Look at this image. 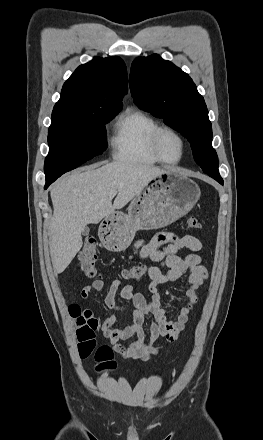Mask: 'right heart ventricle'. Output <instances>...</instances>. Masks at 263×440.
I'll return each instance as SVG.
<instances>
[{
	"label": "right heart ventricle",
	"instance_id": "e07e8e85",
	"mask_svg": "<svg viewBox=\"0 0 263 440\" xmlns=\"http://www.w3.org/2000/svg\"><path fill=\"white\" fill-rule=\"evenodd\" d=\"M159 122L140 109H127L116 120L111 139L112 155L121 162L157 164L151 137Z\"/></svg>",
	"mask_w": 263,
	"mask_h": 440
}]
</instances>
